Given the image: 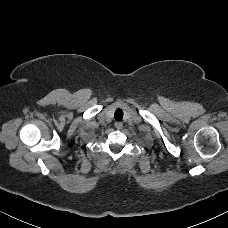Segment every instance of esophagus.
Wrapping results in <instances>:
<instances>
[{
  "label": "esophagus",
  "mask_w": 228,
  "mask_h": 228,
  "mask_svg": "<svg viewBox=\"0 0 228 228\" xmlns=\"http://www.w3.org/2000/svg\"><path fill=\"white\" fill-rule=\"evenodd\" d=\"M122 127H123V124L121 122H116L115 123V128L116 129L120 130V129H122Z\"/></svg>",
  "instance_id": "esophagus-1"
}]
</instances>
